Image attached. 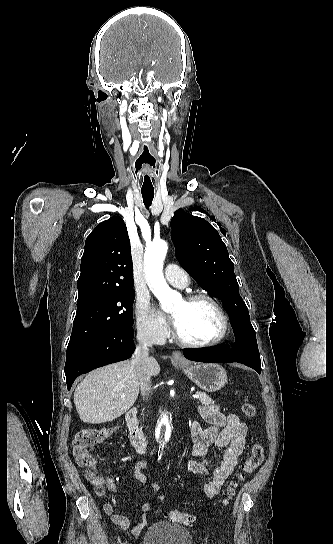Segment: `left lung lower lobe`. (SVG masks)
<instances>
[{"label": "left lung lower lobe", "mask_w": 333, "mask_h": 544, "mask_svg": "<svg viewBox=\"0 0 333 544\" xmlns=\"http://www.w3.org/2000/svg\"><path fill=\"white\" fill-rule=\"evenodd\" d=\"M184 356L189 360L202 362L210 359L223 363L239 362L253 368L259 374L261 372L260 356L256 346L253 349L242 350L240 355H234L233 350L229 353L228 347L223 344L208 349H184Z\"/></svg>", "instance_id": "1"}]
</instances>
